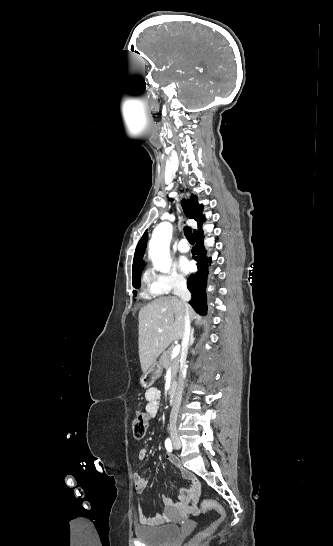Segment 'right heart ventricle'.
Wrapping results in <instances>:
<instances>
[{"label":"right heart ventricle","instance_id":"right-heart-ventricle-1","mask_svg":"<svg viewBox=\"0 0 333 546\" xmlns=\"http://www.w3.org/2000/svg\"><path fill=\"white\" fill-rule=\"evenodd\" d=\"M143 283H144V288H143L142 296L145 299H150L154 294L152 293L150 288V277L148 272H146L143 276Z\"/></svg>","mask_w":333,"mask_h":546}]
</instances>
